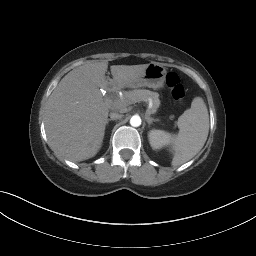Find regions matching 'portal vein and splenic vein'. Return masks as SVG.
<instances>
[{
    "label": "portal vein and splenic vein",
    "mask_w": 256,
    "mask_h": 256,
    "mask_svg": "<svg viewBox=\"0 0 256 256\" xmlns=\"http://www.w3.org/2000/svg\"><path fill=\"white\" fill-rule=\"evenodd\" d=\"M146 112H147V114H151V113H150V109H147Z\"/></svg>",
    "instance_id": "1"
}]
</instances>
